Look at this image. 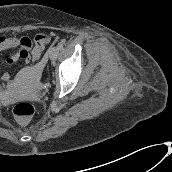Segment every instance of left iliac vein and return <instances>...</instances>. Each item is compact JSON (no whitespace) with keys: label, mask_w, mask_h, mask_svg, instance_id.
Here are the masks:
<instances>
[{"label":"left iliac vein","mask_w":172,"mask_h":172,"mask_svg":"<svg viewBox=\"0 0 172 172\" xmlns=\"http://www.w3.org/2000/svg\"><path fill=\"white\" fill-rule=\"evenodd\" d=\"M58 53H59V51H58V48L57 47H54V46L50 47V49H49V57L52 60H54V59L57 58Z\"/></svg>","instance_id":"4c4485c4"}]
</instances>
